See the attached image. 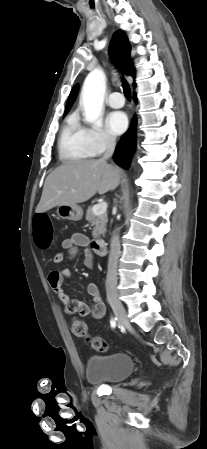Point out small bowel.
<instances>
[{
    "label": "small bowel",
    "mask_w": 207,
    "mask_h": 449,
    "mask_svg": "<svg viewBox=\"0 0 207 449\" xmlns=\"http://www.w3.org/2000/svg\"><path fill=\"white\" fill-rule=\"evenodd\" d=\"M63 248L68 251L70 259L76 257L78 249L83 247L85 249L84 264L87 268H92L94 264V255L89 249V238L81 233H74L70 238L63 241ZM64 254L57 253L53 258L55 264H60L64 261ZM71 277V271L68 268L59 270H52L48 274V283L50 287L57 293L59 299L64 303L65 312L70 315L79 314L80 316H92L95 319H101L106 314V307L102 302L99 288L96 283H89L87 285V293L91 297L92 305L72 298L63 288L64 280Z\"/></svg>",
    "instance_id": "small-bowel-1"
}]
</instances>
